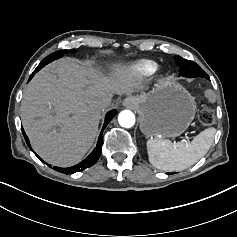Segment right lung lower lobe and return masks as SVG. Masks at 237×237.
Returning a JSON list of instances; mask_svg holds the SVG:
<instances>
[{"instance_id":"obj_1","label":"right lung lower lobe","mask_w":237,"mask_h":237,"mask_svg":"<svg viewBox=\"0 0 237 237\" xmlns=\"http://www.w3.org/2000/svg\"><path fill=\"white\" fill-rule=\"evenodd\" d=\"M35 73H33L31 76H30V79L33 77ZM29 79V80H30ZM116 110H112L110 112L107 113L106 115V118H105V123H104V126L102 128V131L100 133V136H99V140H98V143H97V146L96 148L92 151V153L86 158L84 159L82 162H80L79 164L75 165V166H72V167H68V168H59V167H53L54 170L58 171V172H61V173H65V174H72V173H75V172H79V171H83L85 170L86 168H89L91 167L93 164H95V162L98 160V158L100 157V154H101V149H102V144H103V137H102V133H103V130L105 129V127L107 126V124L112 120V118L116 115ZM22 132H23V135H24V138L26 140V143L28 144V146L31 148L30 144H29V139L28 137L26 136L23 128H22ZM32 150V149H31ZM33 151V150H32ZM33 153H35L33 151ZM39 159L40 157L35 154ZM41 160V159H40ZM42 161V160H41ZM44 162V161H43ZM50 167V165H48Z\"/></svg>"}]
</instances>
